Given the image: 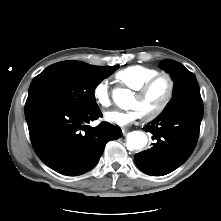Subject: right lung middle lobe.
<instances>
[{"label":"right lung middle lobe","mask_w":221,"mask_h":221,"mask_svg":"<svg viewBox=\"0 0 221 221\" xmlns=\"http://www.w3.org/2000/svg\"><path fill=\"white\" fill-rule=\"evenodd\" d=\"M119 66H94L80 61L53 64L36 76L26 104L49 102L78 110L98 108L94 90Z\"/></svg>","instance_id":"dd1d6c3e"}]
</instances>
